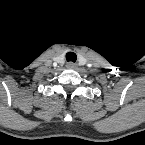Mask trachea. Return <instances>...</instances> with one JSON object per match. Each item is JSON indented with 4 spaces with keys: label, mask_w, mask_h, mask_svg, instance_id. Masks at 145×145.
<instances>
[{
    "label": "trachea",
    "mask_w": 145,
    "mask_h": 145,
    "mask_svg": "<svg viewBox=\"0 0 145 145\" xmlns=\"http://www.w3.org/2000/svg\"><path fill=\"white\" fill-rule=\"evenodd\" d=\"M66 60L69 62V61H71V62H76V60H77V55L74 53V52H68L67 54H66Z\"/></svg>",
    "instance_id": "obj_1"
}]
</instances>
